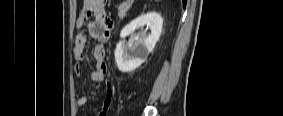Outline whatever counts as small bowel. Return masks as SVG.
I'll list each match as a JSON object with an SVG mask.
<instances>
[{"mask_svg": "<svg viewBox=\"0 0 283 116\" xmlns=\"http://www.w3.org/2000/svg\"><path fill=\"white\" fill-rule=\"evenodd\" d=\"M104 0H87L78 18L77 26L82 30L77 34L74 43V55L78 61L75 71L77 75H82L81 63L85 59V48L88 35L91 36L96 44L93 48L94 70L91 72V81L101 83L106 80L107 64L105 62V52L103 43L109 37V32L113 23L105 11ZM88 21L89 19H91ZM88 21V22H87ZM86 23V24H85ZM114 97V85L110 80H106L104 101L101 109L96 113L97 116H107ZM88 103V97L81 95L77 98V108H82Z\"/></svg>", "mask_w": 283, "mask_h": 116, "instance_id": "obj_1", "label": "small bowel"}]
</instances>
